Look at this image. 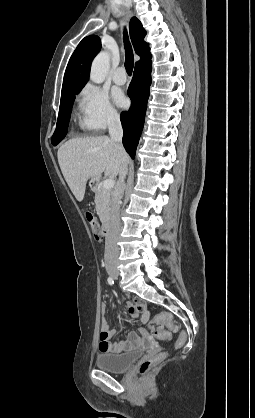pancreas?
<instances>
[{
    "mask_svg": "<svg viewBox=\"0 0 255 418\" xmlns=\"http://www.w3.org/2000/svg\"><path fill=\"white\" fill-rule=\"evenodd\" d=\"M96 211L101 220L108 217L111 205V191L105 189L103 184H99L95 192Z\"/></svg>",
    "mask_w": 255,
    "mask_h": 418,
    "instance_id": "obj_1",
    "label": "pancreas"
}]
</instances>
